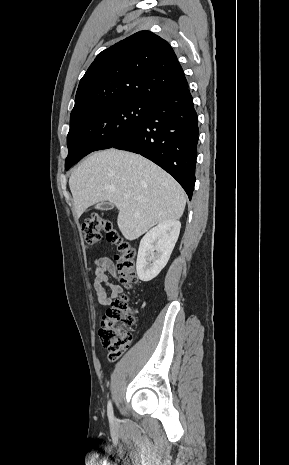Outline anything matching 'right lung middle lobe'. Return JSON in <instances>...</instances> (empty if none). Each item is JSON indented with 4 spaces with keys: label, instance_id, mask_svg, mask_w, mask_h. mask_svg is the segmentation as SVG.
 I'll return each mask as SVG.
<instances>
[{
    "label": "right lung middle lobe",
    "instance_id": "dd1d6c3e",
    "mask_svg": "<svg viewBox=\"0 0 289 465\" xmlns=\"http://www.w3.org/2000/svg\"><path fill=\"white\" fill-rule=\"evenodd\" d=\"M151 103L148 100H127L91 108L83 120L70 127L66 170L87 154L111 148L124 139L149 117Z\"/></svg>",
    "mask_w": 289,
    "mask_h": 465
}]
</instances>
